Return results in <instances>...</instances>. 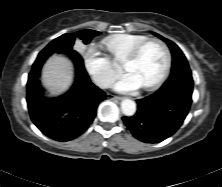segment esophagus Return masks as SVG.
I'll return each mask as SVG.
<instances>
[{
    "instance_id": "esophagus-1",
    "label": "esophagus",
    "mask_w": 222,
    "mask_h": 187,
    "mask_svg": "<svg viewBox=\"0 0 222 187\" xmlns=\"http://www.w3.org/2000/svg\"><path fill=\"white\" fill-rule=\"evenodd\" d=\"M107 98L108 99H112V100H117V101H120L122 99V97L116 96V95H112V94H107Z\"/></svg>"
}]
</instances>
